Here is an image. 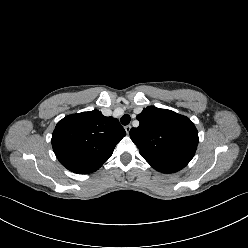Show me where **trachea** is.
Instances as JSON below:
<instances>
[{"label": "trachea", "instance_id": "1", "mask_svg": "<svg viewBox=\"0 0 248 248\" xmlns=\"http://www.w3.org/2000/svg\"><path fill=\"white\" fill-rule=\"evenodd\" d=\"M130 116L128 114H125L121 117L120 119V122L123 124V125H128L130 123Z\"/></svg>", "mask_w": 248, "mask_h": 248}]
</instances>
